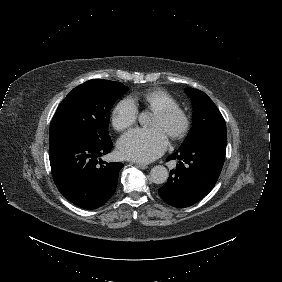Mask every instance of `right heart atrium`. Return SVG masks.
<instances>
[{"label":"right heart atrium","instance_id":"right-heart-atrium-1","mask_svg":"<svg viewBox=\"0 0 282 282\" xmlns=\"http://www.w3.org/2000/svg\"><path fill=\"white\" fill-rule=\"evenodd\" d=\"M137 118V108L128 101H124L114 109L112 123L115 129L121 131L133 125Z\"/></svg>","mask_w":282,"mask_h":282}]
</instances>
